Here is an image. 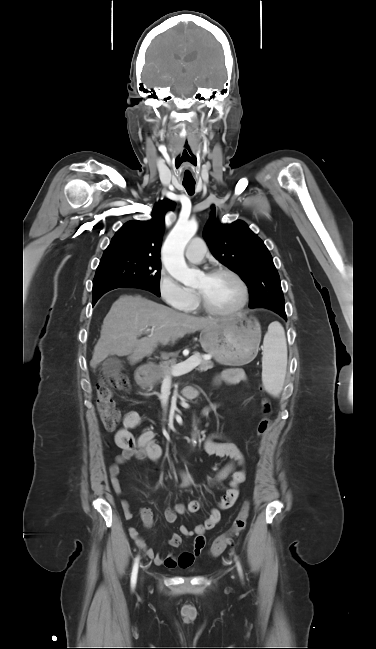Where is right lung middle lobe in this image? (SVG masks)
I'll list each match as a JSON object with an SVG mask.
<instances>
[{
	"label": "right lung middle lobe",
	"instance_id": "dd1d6c3e",
	"mask_svg": "<svg viewBox=\"0 0 376 649\" xmlns=\"http://www.w3.org/2000/svg\"><path fill=\"white\" fill-rule=\"evenodd\" d=\"M159 256L137 253L103 255L93 280V296L107 287H133L160 296Z\"/></svg>",
	"mask_w": 376,
	"mask_h": 649
}]
</instances>
